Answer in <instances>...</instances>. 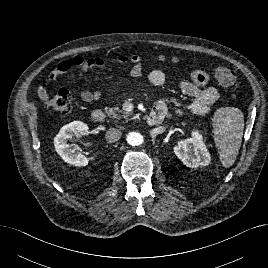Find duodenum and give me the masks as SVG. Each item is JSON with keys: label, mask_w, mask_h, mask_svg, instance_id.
Segmentation results:
<instances>
[{"label": "duodenum", "mask_w": 268, "mask_h": 268, "mask_svg": "<svg viewBox=\"0 0 268 268\" xmlns=\"http://www.w3.org/2000/svg\"><path fill=\"white\" fill-rule=\"evenodd\" d=\"M165 116V113L162 111H152L147 117V124L149 126H154L159 124ZM93 120L97 123H102L105 120V114L101 110H96L93 113Z\"/></svg>", "instance_id": "obj_1"}]
</instances>
